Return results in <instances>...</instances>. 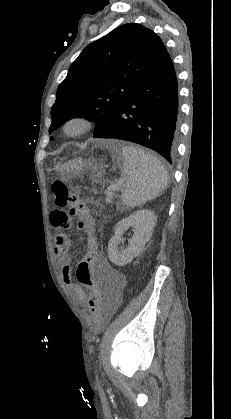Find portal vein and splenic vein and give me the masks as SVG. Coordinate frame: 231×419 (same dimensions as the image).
<instances>
[{
    "instance_id": "1",
    "label": "portal vein and splenic vein",
    "mask_w": 231,
    "mask_h": 419,
    "mask_svg": "<svg viewBox=\"0 0 231 419\" xmlns=\"http://www.w3.org/2000/svg\"><path fill=\"white\" fill-rule=\"evenodd\" d=\"M110 188H111L112 190H119V189H120V183H117V184H111V185H110Z\"/></svg>"
}]
</instances>
